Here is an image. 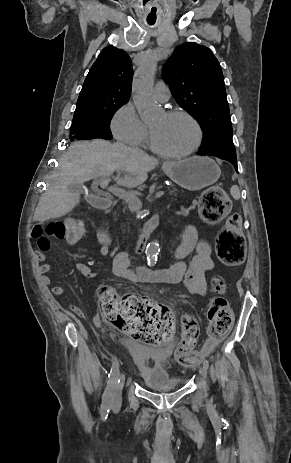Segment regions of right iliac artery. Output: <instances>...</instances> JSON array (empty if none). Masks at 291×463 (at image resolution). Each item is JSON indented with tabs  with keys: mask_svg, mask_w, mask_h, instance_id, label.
I'll list each match as a JSON object with an SVG mask.
<instances>
[{
	"mask_svg": "<svg viewBox=\"0 0 291 463\" xmlns=\"http://www.w3.org/2000/svg\"><path fill=\"white\" fill-rule=\"evenodd\" d=\"M119 376V362L114 361L108 375L109 379L107 386L103 395L102 405H101V416L103 419L107 418L108 412L111 409L113 403V392L116 384L118 383Z\"/></svg>",
	"mask_w": 291,
	"mask_h": 463,
	"instance_id": "obj_1",
	"label": "right iliac artery"
}]
</instances>
